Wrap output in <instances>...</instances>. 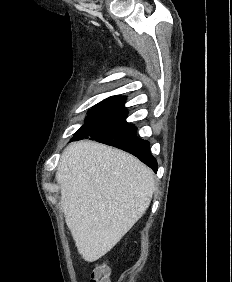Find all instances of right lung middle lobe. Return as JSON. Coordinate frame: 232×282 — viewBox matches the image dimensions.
<instances>
[{"label":"right lung middle lobe","mask_w":232,"mask_h":282,"mask_svg":"<svg viewBox=\"0 0 232 282\" xmlns=\"http://www.w3.org/2000/svg\"><path fill=\"white\" fill-rule=\"evenodd\" d=\"M125 100V97L112 96L95 105L88 111L85 125L74 134L72 140L89 138L130 126L126 122L128 111L124 107Z\"/></svg>","instance_id":"1"}]
</instances>
